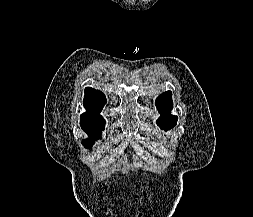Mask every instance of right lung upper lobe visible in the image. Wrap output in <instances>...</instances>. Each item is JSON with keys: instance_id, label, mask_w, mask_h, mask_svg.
Segmentation results:
<instances>
[{"instance_id": "obj_1", "label": "right lung upper lobe", "mask_w": 253, "mask_h": 217, "mask_svg": "<svg viewBox=\"0 0 253 217\" xmlns=\"http://www.w3.org/2000/svg\"><path fill=\"white\" fill-rule=\"evenodd\" d=\"M105 104L106 97L101 91L87 87L84 97V107L87 112L81 115L80 123L105 124L104 118L100 115Z\"/></svg>"}]
</instances>
